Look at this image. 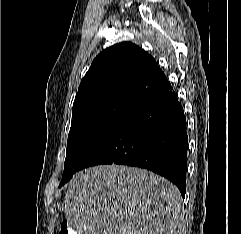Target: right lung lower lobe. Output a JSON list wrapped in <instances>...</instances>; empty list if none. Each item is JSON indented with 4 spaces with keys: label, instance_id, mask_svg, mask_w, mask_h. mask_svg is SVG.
Instances as JSON below:
<instances>
[{
    "label": "right lung lower lobe",
    "instance_id": "obj_1",
    "mask_svg": "<svg viewBox=\"0 0 241 234\" xmlns=\"http://www.w3.org/2000/svg\"><path fill=\"white\" fill-rule=\"evenodd\" d=\"M187 148L184 111L166 81L92 148L81 169L113 163L145 168L173 182L184 198Z\"/></svg>",
    "mask_w": 241,
    "mask_h": 234
}]
</instances>
